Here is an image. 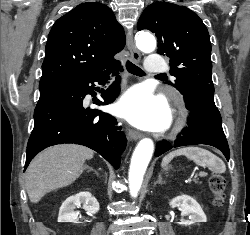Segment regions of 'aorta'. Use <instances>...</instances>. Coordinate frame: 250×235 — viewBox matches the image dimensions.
<instances>
[{
  "label": "aorta",
  "mask_w": 250,
  "mask_h": 235,
  "mask_svg": "<svg viewBox=\"0 0 250 235\" xmlns=\"http://www.w3.org/2000/svg\"><path fill=\"white\" fill-rule=\"evenodd\" d=\"M136 45L142 52L150 53L156 48V40L150 33L140 32L136 38ZM153 151V141L144 138L138 143L133 153L129 169V189L132 197L138 195Z\"/></svg>",
  "instance_id": "aorta-1"
}]
</instances>
